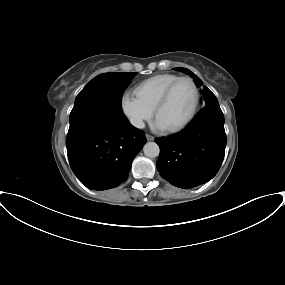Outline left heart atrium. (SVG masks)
<instances>
[{
  "instance_id": "obj_1",
  "label": "left heart atrium",
  "mask_w": 285,
  "mask_h": 285,
  "mask_svg": "<svg viewBox=\"0 0 285 285\" xmlns=\"http://www.w3.org/2000/svg\"><path fill=\"white\" fill-rule=\"evenodd\" d=\"M153 129L156 131H165L167 130L166 126L158 119L156 118L152 125Z\"/></svg>"
}]
</instances>
